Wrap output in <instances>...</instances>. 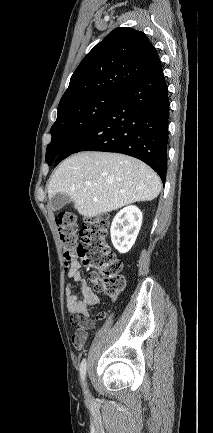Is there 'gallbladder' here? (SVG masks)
<instances>
[{
    "mask_svg": "<svg viewBox=\"0 0 213 433\" xmlns=\"http://www.w3.org/2000/svg\"><path fill=\"white\" fill-rule=\"evenodd\" d=\"M70 202L71 198L68 195L59 192L52 197V199L50 200V205L52 210L56 211L62 209L66 204Z\"/></svg>",
    "mask_w": 213,
    "mask_h": 433,
    "instance_id": "bac80fb5",
    "label": "gallbladder"
}]
</instances>
